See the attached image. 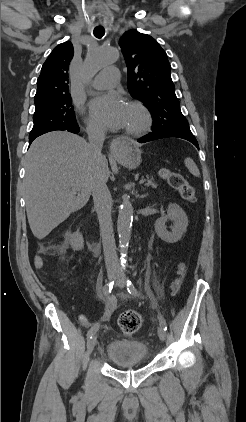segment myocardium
Returning <instances> with one entry per match:
<instances>
[{"mask_svg":"<svg viewBox=\"0 0 246 422\" xmlns=\"http://www.w3.org/2000/svg\"><path fill=\"white\" fill-rule=\"evenodd\" d=\"M128 106L139 112L141 116V123L134 128H125V134L137 137L149 132L153 124V117L149 108L140 101H131Z\"/></svg>","mask_w":246,"mask_h":422,"instance_id":"myocardium-1","label":"myocardium"}]
</instances>
